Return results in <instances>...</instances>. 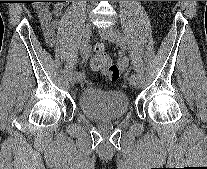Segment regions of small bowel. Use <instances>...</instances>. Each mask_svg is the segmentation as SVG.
<instances>
[{
    "mask_svg": "<svg viewBox=\"0 0 207 169\" xmlns=\"http://www.w3.org/2000/svg\"><path fill=\"white\" fill-rule=\"evenodd\" d=\"M54 14L56 16L61 14L60 6L55 7ZM37 16L47 45L53 47L56 42L55 28L58 25V20H54L52 18V13L45 7L38 10Z\"/></svg>",
    "mask_w": 207,
    "mask_h": 169,
    "instance_id": "obj_1",
    "label": "small bowel"
}]
</instances>
